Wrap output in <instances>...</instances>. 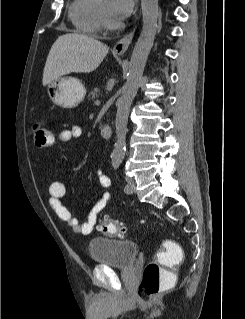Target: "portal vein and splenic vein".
Here are the masks:
<instances>
[{
    "label": "portal vein and splenic vein",
    "instance_id": "obj_1",
    "mask_svg": "<svg viewBox=\"0 0 245 319\" xmlns=\"http://www.w3.org/2000/svg\"><path fill=\"white\" fill-rule=\"evenodd\" d=\"M95 104H96V105H100V101H99V100H96V101H95Z\"/></svg>",
    "mask_w": 245,
    "mask_h": 319
}]
</instances>
